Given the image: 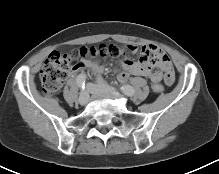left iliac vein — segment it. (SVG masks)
Segmentation results:
<instances>
[{"mask_svg": "<svg viewBox=\"0 0 219 174\" xmlns=\"http://www.w3.org/2000/svg\"><path fill=\"white\" fill-rule=\"evenodd\" d=\"M87 89L91 94L116 93L115 89L108 85H97L93 83H88Z\"/></svg>", "mask_w": 219, "mask_h": 174, "instance_id": "obj_1", "label": "left iliac vein"}]
</instances>
